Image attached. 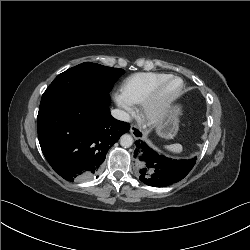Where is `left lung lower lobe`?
Listing matches in <instances>:
<instances>
[{"mask_svg": "<svg viewBox=\"0 0 250 250\" xmlns=\"http://www.w3.org/2000/svg\"><path fill=\"white\" fill-rule=\"evenodd\" d=\"M135 157L140 180L153 187H165L183 179L193 168L196 158L172 160L153 151L145 142H135Z\"/></svg>", "mask_w": 250, "mask_h": 250, "instance_id": "1", "label": "left lung lower lobe"}]
</instances>
